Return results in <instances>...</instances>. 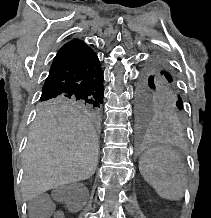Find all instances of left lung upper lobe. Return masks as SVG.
Segmentation results:
<instances>
[{
  "label": "left lung upper lobe",
  "instance_id": "obj_1",
  "mask_svg": "<svg viewBox=\"0 0 211 218\" xmlns=\"http://www.w3.org/2000/svg\"><path fill=\"white\" fill-rule=\"evenodd\" d=\"M138 113L143 129L154 125L180 127L184 121V107L177 80L157 54L150 57L142 73Z\"/></svg>",
  "mask_w": 211,
  "mask_h": 218
}]
</instances>
